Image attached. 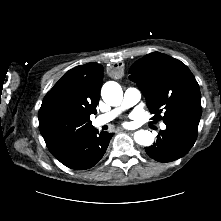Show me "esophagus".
<instances>
[{
  "label": "esophagus",
  "instance_id": "esophagus-1",
  "mask_svg": "<svg viewBox=\"0 0 221 221\" xmlns=\"http://www.w3.org/2000/svg\"><path fill=\"white\" fill-rule=\"evenodd\" d=\"M121 131H124V130L122 129ZM125 132H126V131H125ZM128 133H130V134H131L132 132H128Z\"/></svg>",
  "mask_w": 221,
  "mask_h": 221
}]
</instances>
